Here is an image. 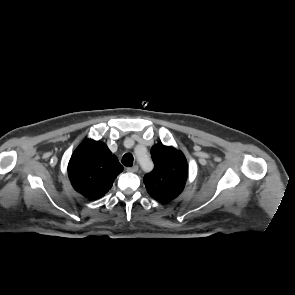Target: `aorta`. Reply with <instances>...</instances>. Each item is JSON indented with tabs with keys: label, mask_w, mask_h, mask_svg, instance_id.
<instances>
[{
	"label": "aorta",
	"mask_w": 295,
	"mask_h": 295,
	"mask_svg": "<svg viewBox=\"0 0 295 295\" xmlns=\"http://www.w3.org/2000/svg\"><path fill=\"white\" fill-rule=\"evenodd\" d=\"M135 156H136L138 163L141 165V167L143 169H146V168L152 169L153 168L152 161H151L147 151L140 152V151L136 150Z\"/></svg>",
	"instance_id": "762f6f07"
}]
</instances>
